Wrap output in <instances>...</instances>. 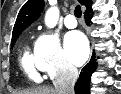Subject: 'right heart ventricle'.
<instances>
[{
    "label": "right heart ventricle",
    "instance_id": "e07e8e85",
    "mask_svg": "<svg viewBox=\"0 0 121 94\" xmlns=\"http://www.w3.org/2000/svg\"><path fill=\"white\" fill-rule=\"evenodd\" d=\"M20 66L25 76L34 83H39L42 79L41 70L38 68L35 57L25 48L20 57Z\"/></svg>",
    "mask_w": 121,
    "mask_h": 94
}]
</instances>
